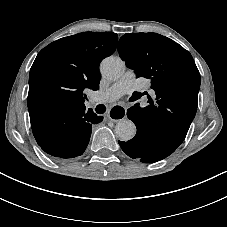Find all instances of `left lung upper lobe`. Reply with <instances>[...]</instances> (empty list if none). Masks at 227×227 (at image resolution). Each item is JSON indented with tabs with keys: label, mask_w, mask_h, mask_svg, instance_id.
<instances>
[{
	"label": "left lung upper lobe",
	"mask_w": 227,
	"mask_h": 227,
	"mask_svg": "<svg viewBox=\"0 0 227 227\" xmlns=\"http://www.w3.org/2000/svg\"><path fill=\"white\" fill-rule=\"evenodd\" d=\"M118 51L137 77L151 80L156 102L149 98L151 105L144 108L149 125L162 140L180 145L196 114L200 88L191 54L157 33H127L120 38Z\"/></svg>",
	"instance_id": "1"
}]
</instances>
